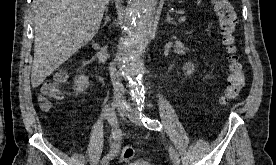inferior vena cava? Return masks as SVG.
I'll return each instance as SVG.
<instances>
[{"instance_id": "1", "label": "inferior vena cava", "mask_w": 276, "mask_h": 165, "mask_svg": "<svg viewBox=\"0 0 276 165\" xmlns=\"http://www.w3.org/2000/svg\"><path fill=\"white\" fill-rule=\"evenodd\" d=\"M109 71L113 84L114 101L122 103L124 102L125 88L120 82L119 75L117 74L116 68L113 65L109 67Z\"/></svg>"}]
</instances>
